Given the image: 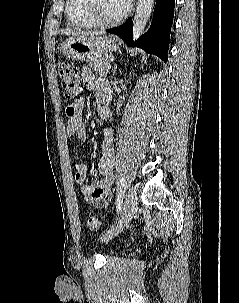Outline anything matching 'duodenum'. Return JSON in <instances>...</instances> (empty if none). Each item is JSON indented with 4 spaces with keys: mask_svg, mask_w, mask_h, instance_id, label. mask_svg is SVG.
Listing matches in <instances>:
<instances>
[{
    "mask_svg": "<svg viewBox=\"0 0 239 303\" xmlns=\"http://www.w3.org/2000/svg\"><path fill=\"white\" fill-rule=\"evenodd\" d=\"M99 114L103 119H108L110 116V110H109L108 106H100Z\"/></svg>",
    "mask_w": 239,
    "mask_h": 303,
    "instance_id": "410a0bca",
    "label": "duodenum"
}]
</instances>
